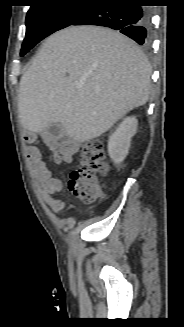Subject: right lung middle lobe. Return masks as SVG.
Instances as JSON below:
<instances>
[{
  "mask_svg": "<svg viewBox=\"0 0 184 327\" xmlns=\"http://www.w3.org/2000/svg\"><path fill=\"white\" fill-rule=\"evenodd\" d=\"M84 1L86 4H79ZM94 0H50L30 7L26 16V36L21 56L48 35L72 25Z\"/></svg>",
  "mask_w": 184,
  "mask_h": 327,
  "instance_id": "obj_1",
  "label": "right lung middle lobe"
}]
</instances>
